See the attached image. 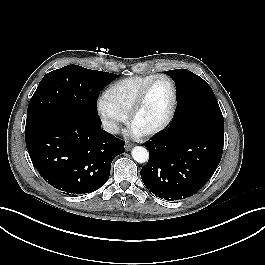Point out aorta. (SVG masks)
Masks as SVG:
<instances>
[{
	"instance_id": "1",
	"label": "aorta",
	"mask_w": 265,
	"mask_h": 265,
	"mask_svg": "<svg viewBox=\"0 0 265 265\" xmlns=\"http://www.w3.org/2000/svg\"><path fill=\"white\" fill-rule=\"evenodd\" d=\"M132 157L138 163H145L149 159V153L146 148L141 146H136L132 149Z\"/></svg>"
}]
</instances>
